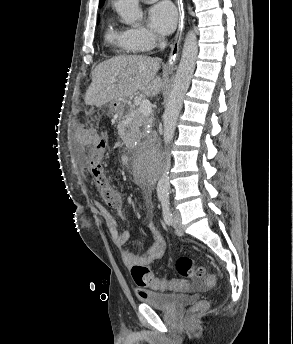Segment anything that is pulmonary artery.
I'll use <instances>...</instances> for the list:
<instances>
[{"mask_svg": "<svg viewBox=\"0 0 293 344\" xmlns=\"http://www.w3.org/2000/svg\"><path fill=\"white\" fill-rule=\"evenodd\" d=\"M142 1H144V2H146V3H152V2H155V1H157V0H142Z\"/></svg>", "mask_w": 293, "mask_h": 344, "instance_id": "1", "label": "pulmonary artery"}]
</instances>
